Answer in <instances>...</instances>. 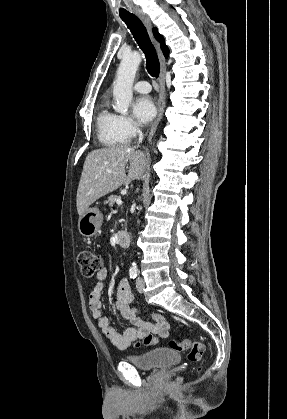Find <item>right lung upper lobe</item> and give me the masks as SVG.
<instances>
[{
  "mask_svg": "<svg viewBox=\"0 0 287 419\" xmlns=\"http://www.w3.org/2000/svg\"><path fill=\"white\" fill-rule=\"evenodd\" d=\"M153 32L156 33L155 37L161 43V49L164 53V56L168 57L169 50L168 47L165 45L164 38L159 33H157L156 28H153Z\"/></svg>",
  "mask_w": 287,
  "mask_h": 419,
  "instance_id": "1",
  "label": "right lung upper lobe"
}]
</instances>
